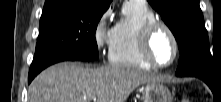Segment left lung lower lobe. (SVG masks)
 Here are the masks:
<instances>
[{
	"mask_svg": "<svg viewBox=\"0 0 221 102\" xmlns=\"http://www.w3.org/2000/svg\"><path fill=\"white\" fill-rule=\"evenodd\" d=\"M196 77V76H195ZM202 79L210 88H212L214 80L208 77H198Z\"/></svg>",
	"mask_w": 221,
	"mask_h": 102,
	"instance_id": "obj_1",
	"label": "left lung lower lobe"
}]
</instances>
